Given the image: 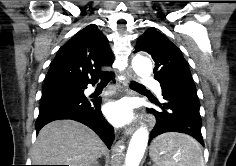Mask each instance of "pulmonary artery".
<instances>
[{"label":"pulmonary artery","mask_w":236,"mask_h":166,"mask_svg":"<svg viewBox=\"0 0 236 166\" xmlns=\"http://www.w3.org/2000/svg\"><path fill=\"white\" fill-rule=\"evenodd\" d=\"M143 83L148 86H153L156 94L161 97L162 90H161V87L157 81H155L151 78H145Z\"/></svg>","instance_id":"e3ab8cb5"}]
</instances>
